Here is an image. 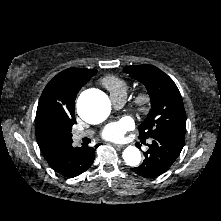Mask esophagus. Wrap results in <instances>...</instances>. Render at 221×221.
<instances>
[{
  "label": "esophagus",
  "instance_id": "34e87169",
  "mask_svg": "<svg viewBox=\"0 0 221 221\" xmlns=\"http://www.w3.org/2000/svg\"><path fill=\"white\" fill-rule=\"evenodd\" d=\"M113 146L116 147V148H119V149L124 147V145H117V144H113Z\"/></svg>",
  "mask_w": 221,
  "mask_h": 221
}]
</instances>
